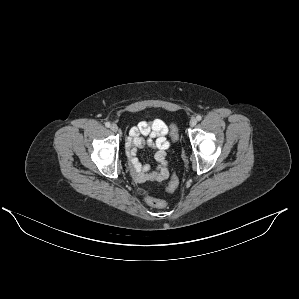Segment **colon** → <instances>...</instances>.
Returning <instances> with one entry per match:
<instances>
[{
  "label": "colon",
  "mask_w": 299,
  "mask_h": 299,
  "mask_svg": "<svg viewBox=\"0 0 299 299\" xmlns=\"http://www.w3.org/2000/svg\"><path fill=\"white\" fill-rule=\"evenodd\" d=\"M171 137L174 140L177 138L176 125H172V127H171ZM177 187H178V179L175 176H173L171 181L169 182L166 190H167V192L172 193L177 189ZM145 200L149 206L157 208V209H165L168 206L166 201L159 199V198H155L150 195L146 196Z\"/></svg>",
  "instance_id": "1"
}]
</instances>
